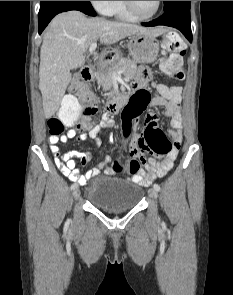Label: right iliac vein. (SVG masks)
Wrapping results in <instances>:
<instances>
[{
  "instance_id": "63e3f726",
  "label": "right iliac vein",
  "mask_w": 233,
  "mask_h": 295,
  "mask_svg": "<svg viewBox=\"0 0 233 295\" xmlns=\"http://www.w3.org/2000/svg\"><path fill=\"white\" fill-rule=\"evenodd\" d=\"M79 196H80V189H79V187L77 186V187L74 189V191H73V198H74L75 200H77V199L79 198Z\"/></svg>"
}]
</instances>
